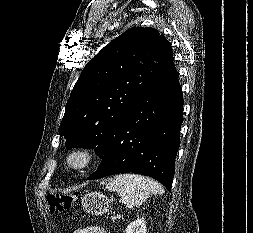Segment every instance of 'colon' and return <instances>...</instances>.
<instances>
[{"instance_id":"5ec220e1","label":"colon","mask_w":253,"mask_h":233,"mask_svg":"<svg viewBox=\"0 0 253 233\" xmlns=\"http://www.w3.org/2000/svg\"><path fill=\"white\" fill-rule=\"evenodd\" d=\"M77 200V195L68 194H49L47 202L52 212H63L71 209Z\"/></svg>"}]
</instances>
